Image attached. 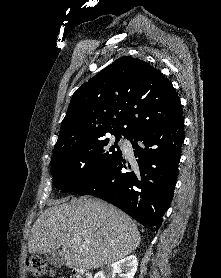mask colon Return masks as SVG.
<instances>
[{
    "mask_svg": "<svg viewBox=\"0 0 221 278\" xmlns=\"http://www.w3.org/2000/svg\"><path fill=\"white\" fill-rule=\"evenodd\" d=\"M26 267L28 272L36 278L52 277L55 278L54 271L48 266V264L41 258L30 257L26 260ZM56 278H65L58 276Z\"/></svg>",
    "mask_w": 221,
    "mask_h": 278,
    "instance_id": "1",
    "label": "colon"
}]
</instances>
